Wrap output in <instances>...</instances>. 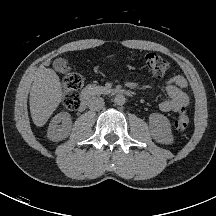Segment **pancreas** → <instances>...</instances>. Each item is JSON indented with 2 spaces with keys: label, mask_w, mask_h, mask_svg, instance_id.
<instances>
[{
  "label": "pancreas",
  "mask_w": 216,
  "mask_h": 216,
  "mask_svg": "<svg viewBox=\"0 0 216 216\" xmlns=\"http://www.w3.org/2000/svg\"><path fill=\"white\" fill-rule=\"evenodd\" d=\"M92 93L95 94V95H99V94H103V93H109L110 90L107 89L106 87H103V86H97L95 84H91L88 86Z\"/></svg>",
  "instance_id": "obj_1"
}]
</instances>
